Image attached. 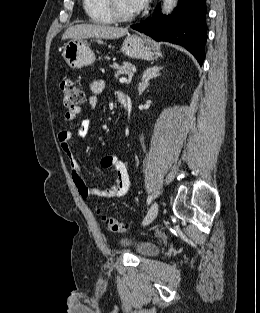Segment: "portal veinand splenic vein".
I'll use <instances>...</instances> for the list:
<instances>
[{"label": "portal vein and splenic vein", "instance_id": "portal-vein-and-splenic-vein-1", "mask_svg": "<svg viewBox=\"0 0 260 313\" xmlns=\"http://www.w3.org/2000/svg\"><path fill=\"white\" fill-rule=\"evenodd\" d=\"M131 75H132V74H131ZM119 82H120V83H127V82H128V79L122 77V78L119 79Z\"/></svg>", "mask_w": 260, "mask_h": 313}]
</instances>
